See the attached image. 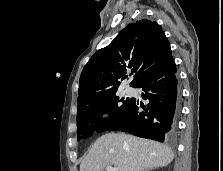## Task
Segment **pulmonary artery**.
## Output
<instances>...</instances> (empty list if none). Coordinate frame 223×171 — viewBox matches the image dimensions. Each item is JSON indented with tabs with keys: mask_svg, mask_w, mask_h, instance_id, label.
<instances>
[{
	"mask_svg": "<svg viewBox=\"0 0 223 171\" xmlns=\"http://www.w3.org/2000/svg\"><path fill=\"white\" fill-rule=\"evenodd\" d=\"M133 91H134V90H133L131 87H126V89H125V92H126L127 94H132Z\"/></svg>",
	"mask_w": 223,
	"mask_h": 171,
	"instance_id": "1",
	"label": "pulmonary artery"
}]
</instances>
